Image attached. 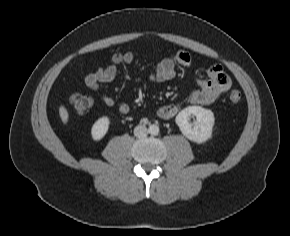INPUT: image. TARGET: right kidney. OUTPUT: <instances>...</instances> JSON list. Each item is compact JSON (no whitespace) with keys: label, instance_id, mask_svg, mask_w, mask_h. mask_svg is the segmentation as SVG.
<instances>
[{"label":"right kidney","instance_id":"obj_1","mask_svg":"<svg viewBox=\"0 0 290 236\" xmlns=\"http://www.w3.org/2000/svg\"><path fill=\"white\" fill-rule=\"evenodd\" d=\"M110 119L106 116L99 118L92 126L91 135L96 141L102 139L109 129Z\"/></svg>","mask_w":290,"mask_h":236}]
</instances>
